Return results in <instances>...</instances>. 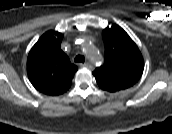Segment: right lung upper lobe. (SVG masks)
<instances>
[{
  "mask_svg": "<svg viewBox=\"0 0 172 134\" xmlns=\"http://www.w3.org/2000/svg\"><path fill=\"white\" fill-rule=\"evenodd\" d=\"M62 38L63 35L59 32L44 33L27 58L30 82L38 91L47 95L54 96L66 92L78 70L61 50Z\"/></svg>",
  "mask_w": 172,
  "mask_h": 134,
  "instance_id": "cb5924a9",
  "label": "right lung upper lobe"
}]
</instances>
